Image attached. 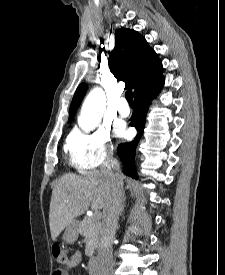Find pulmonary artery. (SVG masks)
<instances>
[{
    "instance_id": "obj_1",
    "label": "pulmonary artery",
    "mask_w": 225,
    "mask_h": 275,
    "mask_svg": "<svg viewBox=\"0 0 225 275\" xmlns=\"http://www.w3.org/2000/svg\"><path fill=\"white\" fill-rule=\"evenodd\" d=\"M117 114L121 117H127L130 114V109L125 99H121L119 101V104L117 107Z\"/></svg>"
}]
</instances>
